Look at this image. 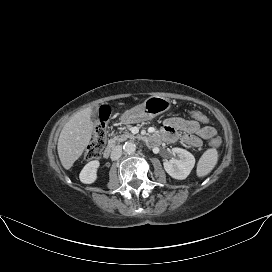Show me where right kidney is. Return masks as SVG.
<instances>
[{"instance_id":"ca27d5eb","label":"right kidney","mask_w":272,"mask_h":272,"mask_svg":"<svg viewBox=\"0 0 272 272\" xmlns=\"http://www.w3.org/2000/svg\"><path fill=\"white\" fill-rule=\"evenodd\" d=\"M99 166L100 162L98 160H93L87 163L80 172V181L84 184L94 183L97 179V170Z\"/></svg>"}]
</instances>
